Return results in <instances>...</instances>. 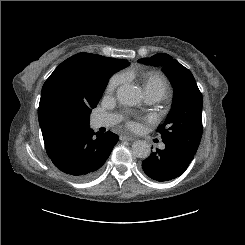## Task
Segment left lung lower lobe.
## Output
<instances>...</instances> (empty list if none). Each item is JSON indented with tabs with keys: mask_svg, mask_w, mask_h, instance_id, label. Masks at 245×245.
Instances as JSON below:
<instances>
[{
	"mask_svg": "<svg viewBox=\"0 0 245 245\" xmlns=\"http://www.w3.org/2000/svg\"><path fill=\"white\" fill-rule=\"evenodd\" d=\"M164 150L156 152L142 162L144 172L156 181H169L181 176L194 158L195 153L178 143L164 142Z\"/></svg>",
	"mask_w": 245,
	"mask_h": 245,
	"instance_id": "obj_1",
	"label": "left lung lower lobe"
}]
</instances>
